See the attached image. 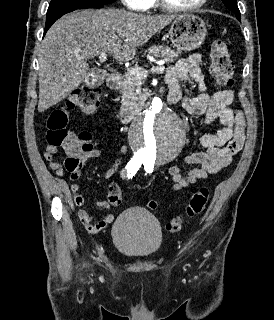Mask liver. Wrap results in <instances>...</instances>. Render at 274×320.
Here are the masks:
<instances>
[{
    "label": "liver",
    "mask_w": 274,
    "mask_h": 320,
    "mask_svg": "<svg viewBox=\"0 0 274 320\" xmlns=\"http://www.w3.org/2000/svg\"><path fill=\"white\" fill-rule=\"evenodd\" d=\"M177 16H144L126 10H76L57 20L39 50L38 112L55 106L86 82L89 58L110 54L129 62L136 48L169 26Z\"/></svg>",
    "instance_id": "1"
}]
</instances>
